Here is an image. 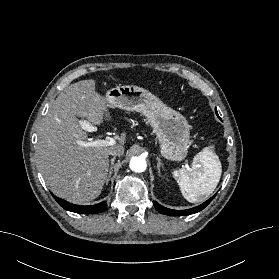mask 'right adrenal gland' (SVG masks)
Masks as SVG:
<instances>
[{
  "instance_id": "2a0ac1e0",
  "label": "right adrenal gland",
  "mask_w": 279,
  "mask_h": 279,
  "mask_svg": "<svg viewBox=\"0 0 279 279\" xmlns=\"http://www.w3.org/2000/svg\"><path fill=\"white\" fill-rule=\"evenodd\" d=\"M115 159H116V156H114V157L111 159V166H110V169H109V173H108V177H107V180H106V184L109 182L110 177H111V175H112V169H113V165H114Z\"/></svg>"
}]
</instances>
